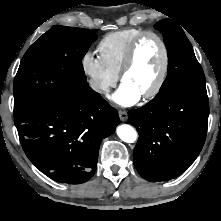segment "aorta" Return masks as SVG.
Returning a JSON list of instances; mask_svg holds the SVG:
<instances>
[{
  "label": "aorta",
  "mask_w": 221,
  "mask_h": 221,
  "mask_svg": "<svg viewBox=\"0 0 221 221\" xmlns=\"http://www.w3.org/2000/svg\"><path fill=\"white\" fill-rule=\"evenodd\" d=\"M116 132L118 137L126 143H133L137 139L136 130L128 124L119 125Z\"/></svg>",
  "instance_id": "obj_1"
}]
</instances>
